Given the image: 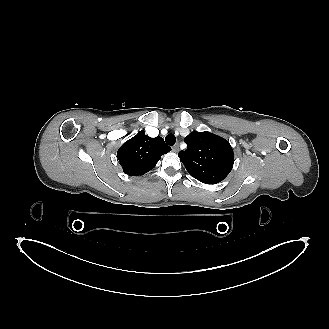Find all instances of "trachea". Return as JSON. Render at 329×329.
Listing matches in <instances>:
<instances>
[{"mask_svg": "<svg viewBox=\"0 0 329 329\" xmlns=\"http://www.w3.org/2000/svg\"><path fill=\"white\" fill-rule=\"evenodd\" d=\"M165 141L168 145L172 146L175 144L176 142V138L173 134H168L166 137H165Z\"/></svg>", "mask_w": 329, "mask_h": 329, "instance_id": "obj_1", "label": "trachea"}]
</instances>
